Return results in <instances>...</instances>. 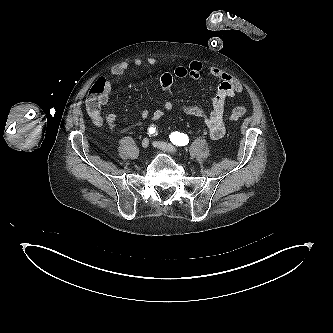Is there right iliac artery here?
I'll return each mask as SVG.
<instances>
[{"mask_svg": "<svg viewBox=\"0 0 333 333\" xmlns=\"http://www.w3.org/2000/svg\"><path fill=\"white\" fill-rule=\"evenodd\" d=\"M148 132H149V135H155V133H156V127H150L149 128V130H148Z\"/></svg>", "mask_w": 333, "mask_h": 333, "instance_id": "82829eb1", "label": "right iliac artery"}]
</instances>
